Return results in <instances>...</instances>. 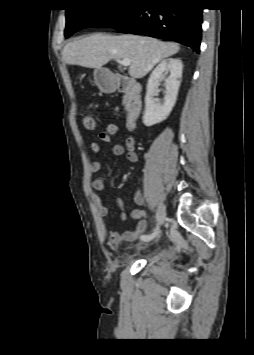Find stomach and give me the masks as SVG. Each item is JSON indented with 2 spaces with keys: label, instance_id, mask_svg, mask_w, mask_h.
Listing matches in <instances>:
<instances>
[{
  "label": "stomach",
  "instance_id": "0dacf381",
  "mask_svg": "<svg viewBox=\"0 0 254 355\" xmlns=\"http://www.w3.org/2000/svg\"><path fill=\"white\" fill-rule=\"evenodd\" d=\"M93 75L94 82L100 89L108 90L113 88V81L105 69H96Z\"/></svg>",
  "mask_w": 254,
  "mask_h": 355
}]
</instances>
